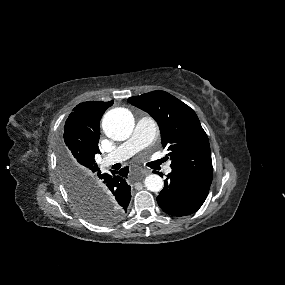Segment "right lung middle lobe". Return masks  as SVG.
I'll use <instances>...</instances> for the list:
<instances>
[{"label": "right lung middle lobe", "mask_w": 285, "mask_h": 285, "mask_svg": "<svg viewBox=\"0 0 285 285\" xmlns=\"http://www.w3.org/2000/svg\"><path fill=\"white\" fill-rule=\"evenodd\" d=\"M59 164L68 195L76 210L86 220L97 225H108L123 216L116 206L103 200L94 189L88 187L91 178H87L71 162L63 147L59 149Z\"/></svg>", "instance_id": "1"}]
</instances>
